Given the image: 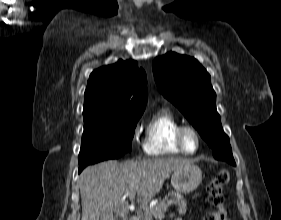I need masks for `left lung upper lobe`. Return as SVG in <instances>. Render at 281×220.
I'll return each instance as SVG.
<instances>
[{"mask_svg":"<svg viewBox=\"0 0 281 220\" xmlns=\"http://www.w3.org/2000/svg\"><path fill=\"white\" fill-rule=\"evenodd\" d=\"M160 93L170 100L213 149L215 159L235 165L229 137L216 110L211 77L193 57L170 52L153 61Z\"/></svg>","mask_w":281,"mask_h":220,"instance_id":"obj_1","label":"left lung upper lobe"}]
</instances>
